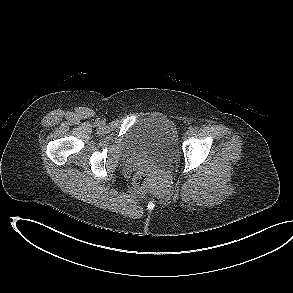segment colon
I'll list each match as a JSON object with an SVG mask.
<instances>
[{"instance_id":"1","label":"colon","mask_w":293,"mask_h":293,"mask_svg":"<svg viewBox=\"0 0 293 293\" xmlns=\"http://www.w3.org/2000/svg\"><path fill=\"white\" fill-rule=\"evenodd\" d=\"M133 184L136 191H146L152 184L151 174L145 170L136 172L133 178Z\"/></svg>"}]
</instances>
